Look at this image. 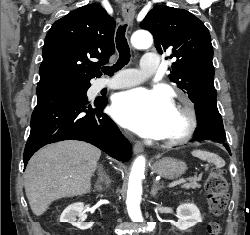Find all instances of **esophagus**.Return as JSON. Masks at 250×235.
Returning a JSON list of instances; mask_svg holds the SVG:
<instances>
[{
  "label": "esophagus",
  "mask_w": 250,
  "mask_h": 235,
  "mask_svg": "<svg viewBox=\"0 0 250 235\" xmlns=\"http://www.w3.org/2000/svg\"><path fill=\"white\" fill-rule=\"evenodd\" d=\"M122 16L126 23H128L129 25L132 24L135 16V9L132 4L128 3L123 5ZM133 151L135 154L141 153L143 151V145L139 141L135 142L133 146Z\"/></svg>",
  "instance_id": "1"
}]
</instances>
